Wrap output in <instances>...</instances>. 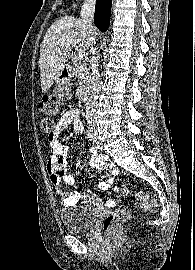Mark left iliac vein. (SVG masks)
Masks as SVG:
<instances>
[{"label":"left iliac vein","instance_id":"left-iliac-vein-1","mask_svg":"<svg viewBox=\"0 0 195 270\" xmlns=\"http://www.w3.org/2000/svg\"><path fill=\"white\" fill-rule=\"evenodd\" d=\"M92 133H93V140H92L93 144L96 146V148H100L97 132L94 130Z\"/></svg>","mask_w":195,"mask_h":270}]
</instances>
